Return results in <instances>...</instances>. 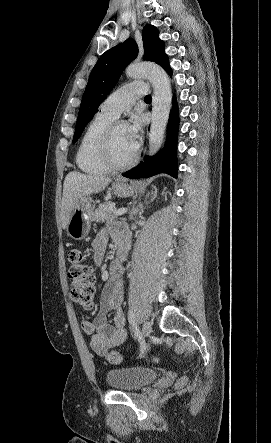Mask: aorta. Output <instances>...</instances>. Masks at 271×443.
<instances>
[{"label": "aorta", "instance_id": "obj_1", "mask_svg": "<svg viewBox=\"0 0 271 443\" xmlns=\"http://www.w3.org/2000/svg\"><path fill=\"white\" fill-rule=\"evenodd\" d=\"M127 78H147L154 90L151 128L149 134V156L159 152L171 110V82L165 70L157 64L141 62L130 64L125 70Z\"/></svg>", "mask_w": 271, "mask_h": 443}]
</instances>
